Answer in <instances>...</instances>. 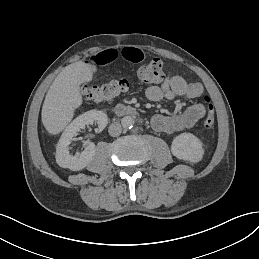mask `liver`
<instances>
[{
  "instance_id": "obj_1",
  "label": "liver",
  "mask_w": 259,
  "mask_h": 259,
  "mask_svg": "<svg viewBox=\"0 0 259 259\" xmlns=\"http://www.w3.org/2000/svg\"><path fill=\"white\" fill-rule=\"evenodd\" d=\"M90 64L78 61L66 66L50 86L42 107V123L53 135L59 134L72 120L74 111L82 104L80 85L91 81Z\"/></svg>"
}]
</instances>
